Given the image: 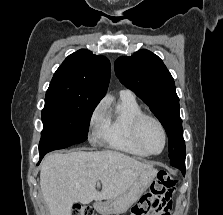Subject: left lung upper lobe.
Masks as SVG:
<instances>
[{
  "instance_id": "obj_1",
  "label": "left lung upper lobe",
  "mask_w": 223,
  "mask_h": 215,
  "mask_svg": "<svg viewBox=\"0 0 223 215\" xmlns=\"http://www.w3.org/2000/svg\"><path fill=\"white\" fill-rule=\"evenodd\" d=\"M121 83L136 93L151 109L169 138V158L173 166L185 165V142L175 83L163 61L141 49L115 61Z\"/></svg>"
}]
</instances>
